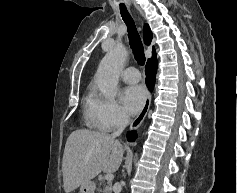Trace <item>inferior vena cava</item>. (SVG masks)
Returning a JSON list of instances; mask_svg holds the SVG:
<instances>
[{
    "label": "inferior vena cava",
    "mask_w": 237,
    "mask_h": 193,
    "mask_svg": "<svg viewBox=\"0 0 237 193\" xmlns=\"http://www.w3.org/2000/svg\"><path fill=\"white\" fill-rule=\"evenodd\" d=\"M129 121H130V118H129V116L127 114H121L119 119H118L117 131L112 133L111 136L113 138H116L117 136H119L123 132V130L126 128V126L128 125ZM120 191H121V186L118 183H116L114 185V192L115 193H120Z\"/></svg>",
    "instance_id": "1"
}]
</instances>
